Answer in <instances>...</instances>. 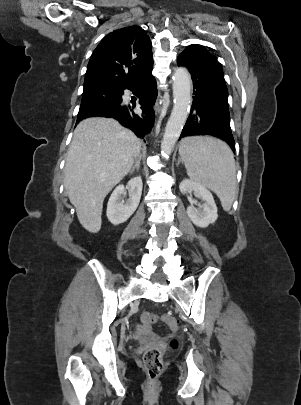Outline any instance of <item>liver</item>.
<instances>
[{"mask_svg":"<svg viewBox=\"0 0 301 405\" xmlns=\"http://www.w3.org/2000/svg\"><path fill=\"white\" fill-rule=\"evenodd\" d=\"M140 140L111 118L82 120L74 130L64 168V187L81 225L101 228L106 195L131 170Z\"/></svg>","mask_w":301,"mask_h":405,"instance_id":"1","label":"liver"}]
</instances>
